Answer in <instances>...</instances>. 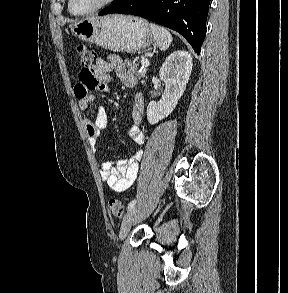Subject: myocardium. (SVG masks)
Listing matches in <instances>:
<instances>
[{
    "instance_id": "1",
    "label": "myocardium",
    "mask_w": 288,
    "mask_h": 293,
    "mask_svg": "<svg viewBox=\"0 0 288 293\" xmlns=\"http://www.w3.org/2000/svg\"><path fill=\"white\" fill-rule=\"evenodd\" d=\"M115 0H101L97 5H95L94 7L82 11V12H76L72 9V2L73 0H68V9L70 11L71 14L76 15V16H84V15H88L91 13H94L96 11H99L100 9L108 6L109 4H111L112 2H114Z\"/></svg>"
}]
</instances>
